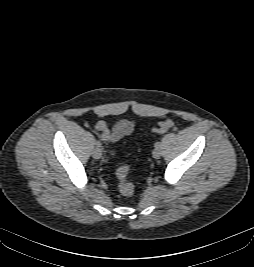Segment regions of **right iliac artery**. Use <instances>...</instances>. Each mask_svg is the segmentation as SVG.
<instances>
[{
    "label": "right iliac artery",
    "mask_w": 254,
    "mask_h": 267,
    "mask_svg": "<svg viewBox=\"0 0 254 267\" xmlns=\"http://www.w3.org/2000/svg\"><path fill=\"white\" fill-rule=\"evenodd\" d=\"M95 144H96V146H97V147H100V146H101V143H100V141H96V143H95Z\"/></svg>",
    "instance_id": "82829eb1"
}]
</instances>
